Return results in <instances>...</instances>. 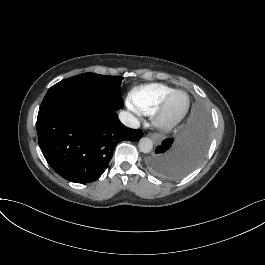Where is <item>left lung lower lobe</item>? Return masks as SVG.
Wrapping results in <instances>:
<instances>
[{
  "label": "left lung lower lobe",
  "instance_id": "obj_1",
  "mask_svg": "<svg viewBox=\"0 0 265 265\" xmlns=\"http://www.w3.org/2000/svg\"><path fill=\"white\" fill-rule=\"evenodd\" d=\"M210 139L206 109L196 104L174 137L165 139L147 158L149 170L162 178L176 179L195 169L205 156Z\"/></svg>",
  "mask_w": 265,
  "mask_h": 265
}]
</instances>
